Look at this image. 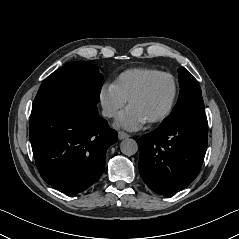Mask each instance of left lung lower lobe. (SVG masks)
Wrapping results in <instances>:
<instances>
[{
  "label": "left lung lower lobe",
  "mask_w": 239,
  "mask_h": 239,
  "mask_svg": "<svg viewBox=\"0 0 239 239\" xmlns=\"http://www.w3.org/2000/svg\"><path fill=\"white\" fill-rule=\"evenodd\" d=\"M208 123L204 113H189L144 135L139 171L154 192H178L197 177L207 148Z\"/></svg>",
  "instance_id": "0a47b994"
}]
</instances>
